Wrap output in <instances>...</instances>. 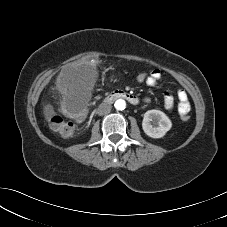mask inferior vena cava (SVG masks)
<instances>
[{
	"label": "inferior vena cava",
	"instance_id": "obj_1",
	"mask_svg": "<svg viewBox=\"0 0 227 227\" xmlns=\"http://www.w3.org/2000/svg\"><path fill=\"white\" fill-rule=\"evenodd\" d=\"M112 109V106L108 103H101L97 108L98 115H105L109 113Z\"/></svg>",
	"mask_w": 227,
	"mask_h": 227
}]
</instances>
